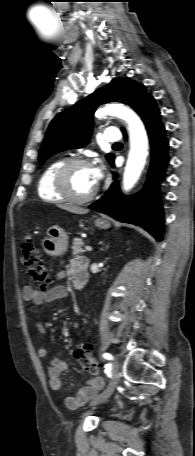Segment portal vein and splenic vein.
Listing matches in <instances>:
<instances>
[{"instance_id":"1","label":"portal vein and splenic vein","mask_w":195,"mask_h":456,"mask_svg":"<svg viewBox=\"0 0 195 456\" xmlns=\"http://www.w3.org/2000/svg\"><path fill=\"white\" fill-rule=\"evenodd\" d=\"M85 250L86 251H92V247L91 246H85Z\"/></svg>"}]
</instances>
